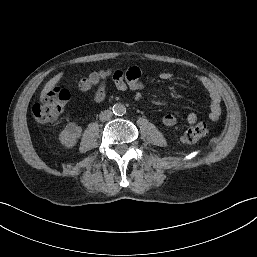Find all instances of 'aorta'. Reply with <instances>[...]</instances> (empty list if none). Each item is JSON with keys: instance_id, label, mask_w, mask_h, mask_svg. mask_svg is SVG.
Listing matches in <instances>:
<instances>
[{"instance_id": "aorta-1", "label": "aorta", "mask_w": 257, "mask_h": 257, "mask_svg": "<svg viewBox=\"0 0 257 257\" xmlns=\"http://www.w3.org/2000/svg\"><path fill=\"white\" fill-rule=\"evenodd\" d=\"M112 110L113 113L118 116L124 115L126 113V107L124 104L121 103L114 104Z\"/></svg>"}]
</instances>
